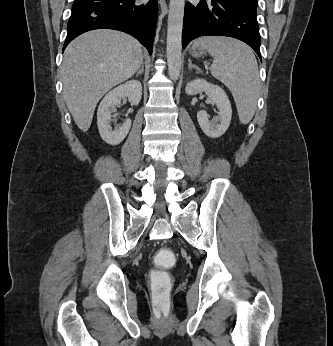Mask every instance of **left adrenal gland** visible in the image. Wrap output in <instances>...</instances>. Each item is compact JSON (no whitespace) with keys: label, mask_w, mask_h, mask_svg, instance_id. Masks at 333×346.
Returning <instances> with one entry per match:
<instances>
[{"label":"left adrenal gland","mask_w":333,"mask_h":346,"mask_svg":"<svg viewBox=\"0 0 333 346\" xmlns=\"http://www.w3.org/2000/svg\"><path fill=\"white\" fill-rule=\"evenodd\" d=\"M188 62H189V63H188V69L195 68V69H197L198 71H200L199 67H197L196 65L192 64L190 58L188 59Z\"/></svg>","instance_id":"left-adrenal-gland-1"}]
</instances>
